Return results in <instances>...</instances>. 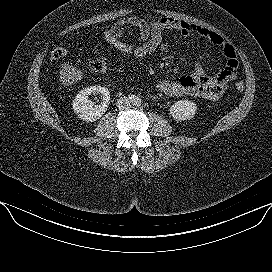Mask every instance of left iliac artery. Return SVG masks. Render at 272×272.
I'll return each instance as SVG.
<instances>
[{"label":"left iliac artery","instance_id":"obj_1","mask_svg":"<svg viewBox=\"0 0 272 272\" xmlns=\"http://www.w3.org/2000/svg\"><path fill=\"white\" fill-rule=\"evenodd\" d=\"M135 105H137V106L141 105V100L137 98L135 101Z\"/></svg>","mask_w":272,"mask_h":272}]
</instances>
